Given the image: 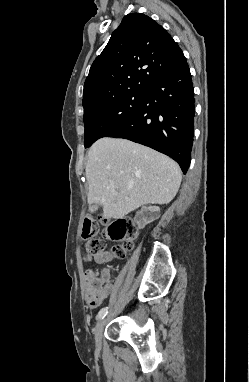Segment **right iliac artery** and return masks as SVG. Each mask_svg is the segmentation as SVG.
Instances as JSON below:
<instances>
[{
  "label": "right iliac artery",
  "instance_id": "obj_1",
  "mask_svg": "<svg viewBox=\"0 0 249 382\" xmlns=\"http://www.w3.org/2000/svg\"><path fill=\"white\" fill-rule=\"evenodd\" d=\"M107 313H108V307L102 308V309L98 312V314H97V316H96V319H97V320H101V319H103V318L107 315Z\"/></svg>",
  "mask_w": 249,
  "mask_h": 382
}]
</instances>
